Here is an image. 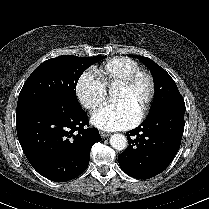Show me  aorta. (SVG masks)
I'll use <instances>...</instances> for the list:
<instances>
[{
	"instance_id": "aorta-1",
	"label": "aorta",
	"mask_w": 209,
	"mask_h": 209,
	"mask_svg": "<svg viewBox=\"0 0 209 209\" xmlns=\"http://www.w3.org/2000/svg\"><path fill=\"white\" fill-rule=\"evenodd\" d=\"M127 144V138L122 134L116 133L110 137V145L115 150H124L127 147Z\"/></svg>"
}]
</instances>
